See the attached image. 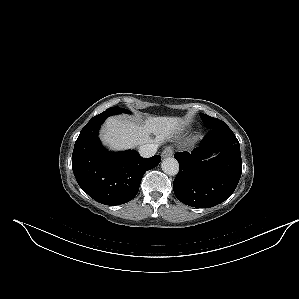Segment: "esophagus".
Here are the masks:
<instances>
[{
    "instance_id": "1",
    "label": "esophagus",
    "mask_w": 299,
    "mask_h": 299,
    "mask_svg": "<svg viewBox=\"0 0 299 299\" xmlns=\"http://www.w3.org/2000/svg\"><path fill=\"white\" fill-rule=\"evenodd\" d=\"M173 154V148L171 146H167L163 151H162V154L161 156L163 158L165 157H169V156H172Z\"/></svg>"
}]
</instances>
